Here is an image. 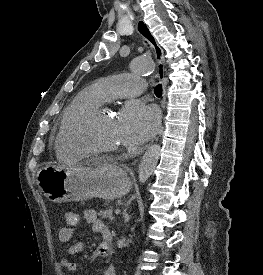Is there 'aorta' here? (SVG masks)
<instances>
[{"label": "aorta", "instance_id": "762f6f07", "mask_svg": "<svg viewBox=\"0 0 263 275\" xmlns=\"http://www.w3.org/2000/svg\"><path fill=\"white\" fill-rule=\"evenodd\" d=\"M131 69L138 74L152 73L155 70V65L150 59L137 58L132 61ZM161 147L159 144L151 145L143 155L139 165V182L144 184L152 175L159 161Z\"/></svg>", "mask_w": 263, "mask_h": 275}]
</instances>
